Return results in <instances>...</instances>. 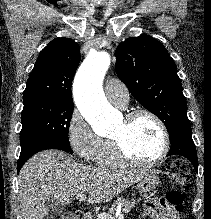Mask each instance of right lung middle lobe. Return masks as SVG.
<instances>
[{
  "label": "right lung middle lobe",
  "instance_id": "dd1d6c3e",
  "mask_svg": "<svg viewBox=\"0 0 211 219\" xmlns=\"http://www.w3.org/2000/svg\"><path fill=\"white\" fill-rule=\"evenodd\" d=\"M72 114L73 104L47 99L24 102L20 132L21 152L37 145L53 144L73 153L68 138Z\"/></svg>",
  "mask_w": 211,
  "mask_h": 219
}]
</instances>
